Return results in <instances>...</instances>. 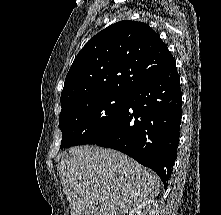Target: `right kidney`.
<instances>
[{
	"label": "right kidney",
	"instance_id": "obj_1",
	"mask_svg": "<svg viewBox=\"0 0 221 215\" xmlns=\"http://www.w3.org/2000/svg\"><path fill=\"white\" fill-rule=\"evenodd\" d=\"M157 208V202L149 199L132 209L128 215H156Z\"/></svg>",
	"mask_w": 221,
	"mask_h": 215
}]
</instances>
